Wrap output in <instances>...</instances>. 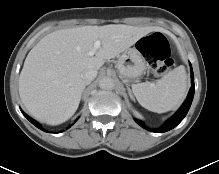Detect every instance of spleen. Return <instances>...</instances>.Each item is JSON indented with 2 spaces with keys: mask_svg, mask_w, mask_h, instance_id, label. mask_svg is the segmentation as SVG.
<instances>
[{
  "mask_svg": "<svg viewBox=\"0 0 219 174\" xmlns=\"http://www.w3.org/2000/svg\"><path fill=\"white\" fill-rule=\"evenodd\" d=\"M186 87L185 68L179 66L156 82L132 84V91L141 106L152 112L164 113L181 103Z\"/></svg>",
  "mask_w": 219,
  "mask_h": 174,
  "instance_id": "obj_1",
  "label": "spleen"
}]
</instances>
